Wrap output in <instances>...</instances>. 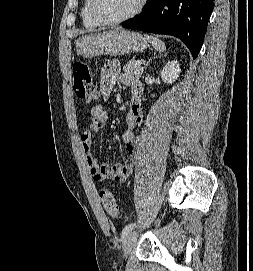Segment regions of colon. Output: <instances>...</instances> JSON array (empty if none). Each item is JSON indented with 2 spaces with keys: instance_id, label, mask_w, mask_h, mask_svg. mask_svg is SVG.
I'll return each instance as SVG.
<instances>
[{
  "instance_id": "1",
  "label": "colon",
  "mask_w": 253,
  "mask_h": 271,
  "mask_svg": "<svg viewBox=\"0 0 253 271\" xmlns=\"http://www.w3.org/2000/svg\"><path fill=\"white\" fill-rule=\"evenodd\" d=\"M73 89L80 99L92 102L98 99L96 85L92 81L89 69L83 62L77 61L72 67ZM101 204L108 215L113 218L120 217V211L113 193L107 189L99 191Z\"/></svg>"
}]
</instances>
